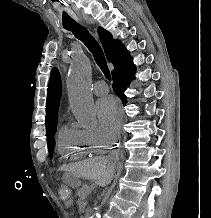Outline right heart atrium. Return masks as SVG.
Wrapping results in <instances>:
<instances>
[{
	"label": "right heart atrium",
	"mask_w": 211,
	"mask_h": 218,
	"mask_svg": "<svg viewBox=\"0 0 211 218\" xmlns=\"http://www.w3.org/2000/svg\"><path fill=\"white\" fill-rule=\"evenodd\" d=\"M80 132L87 142L96 146H107L112 142L111 135L96 125L80 129Z\"/></svg>",
	"instance_id": "d8ad5b80"
}]
</instances>
